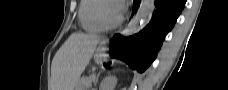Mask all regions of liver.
I'll use <instances>...</instances> for the list:
<instances>
[{
	"label": "liver",
	"instance_id": "1",
	"mask_svg": "<svg viewBox=\"0 0 228 90\" xmlns=\"http://www.w3.org/2000/svg\"><path fill=\"white\" fill-rule=\"evenodd\" d=\"M99 42L93 34L70 35L52 61V90H74Z\"/></svg>",
	"mask_w": 228,
	"mask_h": 90
}]
</instances>
